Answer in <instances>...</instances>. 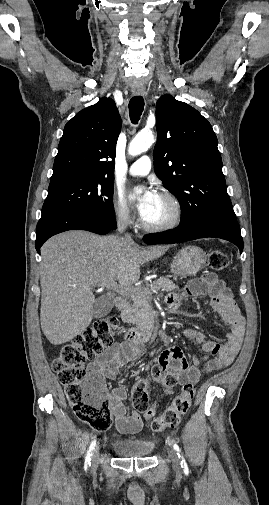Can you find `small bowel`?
<instances>
[{"label":"small bowel","instance_id":"c3829d8e","mask_svg":"<svg viewBox=\"0 0 269 505\" xmlns=\"http://www.w3.org/2000/svg\"><path fill=\"white\" fill-rule=\"evenodd\" d=\"M186 296H209L211 306L228 326L224 343L219 344L208 340L201 331L188 330L187 336L201 345L205 353L203 357L194 356L192 363L188 361L178 346H173L162 351L152 371L161 375L171 376L176 384L196 383L202 376L211 374L229 366L236 357L244 334L245 320L241 315L231 290L225 282L213 272L192 280L184 290ZM178 294H170L167 297L168 304H174L179 300ZM141 346L130 343H114L108 347L98 358L90 362V373L99 375L104 379H115L121 365L138 357ZM127 398V390L124 387L114 388L108 393V400L112 408L116 432L118 436H135L142 430L143 421L141 415L134 411L126 414L124 401Z\"/></svg>","mask_w":269,"mask_h":505}]
</instances>
